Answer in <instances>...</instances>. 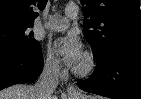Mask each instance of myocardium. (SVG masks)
<instances>
[{
  "mask_svg": "<svg viewBox=\"0 0 141 99\" xmlns=\"http://www.w3.org/2000/svg\"><path fill=\"white\" fill-rule=\"evenodd\" d=\"M96 69V59L90 52H86L81 63L74 68V72L79 77H87Z\"/></svg>",
  "mask_w": 141,
  "mask_h": 99,
  "instance_id": "1",
  "label": "myocardium"
}]
</instances>
